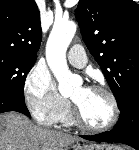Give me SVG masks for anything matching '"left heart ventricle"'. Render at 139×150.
Segmentation results:
<instances>
[{
    "instance_id": "left-heart-ventricle-1",
    "label": "left heart ventricle",
    "mask_w": 139,
    "mask_h": 150,
    "mask_svg": "<svg viewBox=\"0 0 139 150\" xmlns=\"http://www.w3.org/2000/svg\"><path fill=\"white\" fill-rule=\"evenodd\" d=\"M71 99L77 104L82 118L89 125L102 126L110 120L111 104L104 93L79 86L71 94Z\"/></svg>"
}]
</instances>
